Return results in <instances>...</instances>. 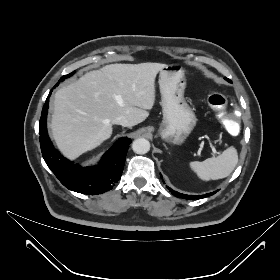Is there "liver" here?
I'll use <instances>...</instances> for the list:
<instances>
[{"label":"liver","mask_w":280,"mask_h":280,"mask_svg":"<svg viewBox=\"0 0 280 280\" xmlns=\"http://www.w3.org/2000/svg\"><path fill=\"white\" fill-rule=\"evenodd\" d=\"M166 64H110L55 93L51 120L59 150L74 159L109 139L113 120L143 122L155 103V79Z\"/></svg>","instance_id":"liver-1"}]
</instances>
